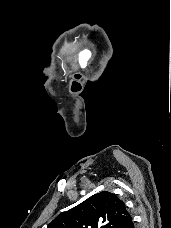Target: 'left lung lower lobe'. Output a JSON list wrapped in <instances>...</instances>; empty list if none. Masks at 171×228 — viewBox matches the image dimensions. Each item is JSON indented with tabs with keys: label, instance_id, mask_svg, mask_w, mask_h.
Listing matches in <instances>:
<instances>
[{
	"label": "left lung lower lobe",
	"instance_id": "left-lung-lower-lobe-1",
	"mask_svg": "<svg viewBox=\"0 0 171 228\" xmlns=\"http://www.w3.org/2000/svg\"><path fill=\"white\" fill-rule=\"evenodd\" d=\"M122 228H134V222L132 221V218H129Z\"/></svg>",
	"mask_w": 171,
	"mask_h": 228
}]
</instances>
